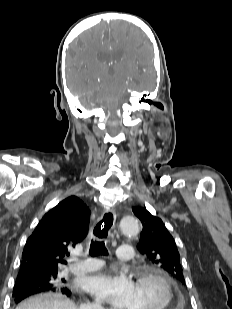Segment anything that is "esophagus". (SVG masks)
<instances>
[{
    "mask_svg": "<svg viewBox=\"0 0 232 309\" xmlns=\"http://www.w3.org/2000/svg\"><path fill=\"white\" fill-rule=\"evenodd\" d=\"M115 212L113 209H107L103 212L100 219L93 225L91 235L97 240H106L115 225Z\"/></svg>",
    "mask_w": 232,
    "mask_h": 309,
    "instance_id": "obj_1",
    "label": "esophagus"
}]
</instances>
